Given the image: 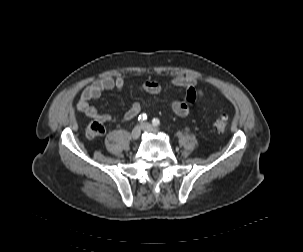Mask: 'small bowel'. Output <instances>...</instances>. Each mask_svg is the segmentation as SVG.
<instances>
[{
    "instance_id": "obj_1",
    "label": "small bowel",
    "mask_w": 303,
    "mask_h": 252,
    "mask_svg": "<svg viewBox=\"0 0 303 252\" xmlns=\"http://www.w3.org/2000/svg\"><path fill=\"white\" fill-rule=\"evenodd\" d=\"M124 85V78L120 76L116 78L104 77L102 79L95 80L82 90L77 102V109L85 116L96 121H100L102 123L111 121V115L100 113L91 105V100L99 98L105 91H121L124 88ZM170 87L175 90H184L186 92V100H173L170 103L172 112L180 117L188 116L191 110V105L199 96L202 95V92L197 87V83L188 77L173 76L171 78ZM140 90L150 94H159L163 91V86L154 80H146L140 85ZM216 99L217 95L214 93L213 101ZM141 110V103L138 101L133 102L125 112L123 121L134 119L140 114Z\"/></svg>"
}]
</instances>
